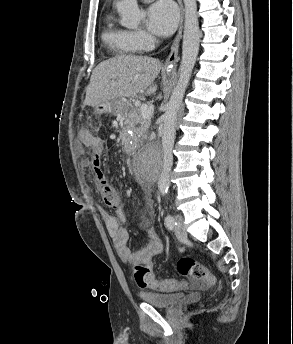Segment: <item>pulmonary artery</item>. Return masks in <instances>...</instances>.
I'll return each mask as SVG.
<instances>
[{"mask_svg": "<svg viewBox=\"0 0 293 344\" xmlns=\"http://www.w3.org/2000/svg\"><path fill=\"white\" fill-rule=\"evenodd\" d=\"M142 1H144V2H149V1H152V0H142Z\"/></svg>", "mask_w": 293, "mask_h": 344, "instance_id": "1", "label": "pulmonary artery"}]
</instances>
